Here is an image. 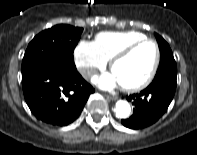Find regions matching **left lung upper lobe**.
Instances as JSON below:
<instances>
[{
  "label": "left lung upper lobe",
  "mask_w": 197,
  "mask_h": 155,
  "mask_svg": "<svg viewBox=\"0 0 197 155\" xmlns=\"http://www.w3.org/2000/svg\"><path fill=\"white\" fill-rule=\"evenodd\" d=\"M159 49H160V64L154 79L158 78H177V65L173 57V53L168 43L157 33H155Z\"/></svg>",
  "instance_id": "left-lung-upper-lobe-1"
}]
</instances>
